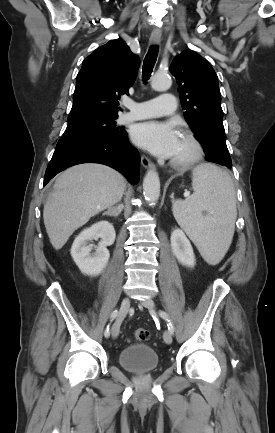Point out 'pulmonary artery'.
I'll return each instance as SVG.
<instances>
[{"label": "pulmonary artery", "instance_id": "obj_1", "mask_svg": "<svg viewBox=\"0 0 275 433\" xmlns=\"http://www.w3.org/2000/svg\"><path fill=\"white\" fill-rule=\"evenodd\" d=\"M176 99L170 93H163L160 96L144 102L126 101L124 106L128 112L121 116L122 122L140 120L155 116L171 115L176 110Z\"/></svg>", "mask_w": 275, "mask_h": 433}]
</instances>
